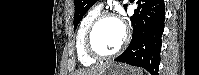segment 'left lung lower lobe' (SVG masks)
I'll return each mask as SVG.
<instances>
[{
    "label": "left lung lower lobe",
    "instance_id": "0a47b994",
    "mask_svg": "<svg viewBox=\"0 0 199 75\" xmlns=\"http://www.w3.org/2000/svg\"><path fill=\"white\" fill-rule=\"evenodd\" d=\"M137 4L138 8L130 18L132 40L115 61L142 67L152 75H158L165 20L164 0H138Z\"/></svg>",
    "mask_w": 199,
    "mask_h": 75
}]
</instances>
